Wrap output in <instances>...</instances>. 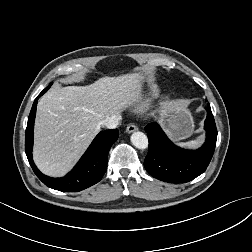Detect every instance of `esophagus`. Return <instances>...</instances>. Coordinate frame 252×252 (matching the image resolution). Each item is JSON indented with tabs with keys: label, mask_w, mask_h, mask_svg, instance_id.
Instances as JSON below:
<instances>
[{
	"label": "esophagus",
	"mask_w": 252,
	"mask_h": 252,
	"mask_svg": "<svg viewBox=\"0 0 252 252\" xmlns=\"http://www.w3.org/2000/svg\"><path fill=\"white\" fill-rule=\"evenodd\" d=\"M137 130H138V127L136 125H134V124H130L126 128L127 133H132V132H135Z\"/></svg>",
	"instance_id": "obj_1"
}]
</instances>
